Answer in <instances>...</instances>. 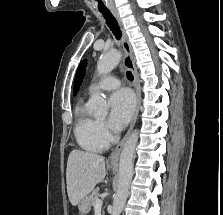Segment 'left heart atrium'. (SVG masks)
Masks as SVG:
<instances>
[{"instance_id":"obj_1","label":"left heart atrium","mask_w":223,"mask_h":215,"mask_svg":"<svg viewBox=\"0 0 223 215\" xmlns=\"http://www.w3.org/2000/svg\"><path fill=\"white\" fill-rule=\"evenodd\" d=\"M109 123L114 128L124 127L131 118L134 110V97L130 90L121 89L113 93L110 98Z\"/></svg>"}]
</instances>
